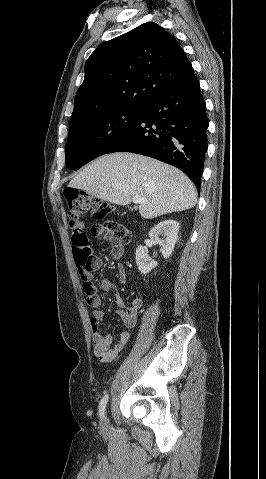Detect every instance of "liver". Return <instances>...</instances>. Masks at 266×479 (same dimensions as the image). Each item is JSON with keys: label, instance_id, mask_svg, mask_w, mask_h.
I'll use <instances>...</instances> for the list:
<instances>
[{"label": "liver", "instance_id": "obj_1", "mask_svg": "<svg viewBox=\"0 0 266 479\" xmlns=\"http://www.w3.org/2000/svg\"><path fill=\"white\" fill-rule=\"evenodd\" d=\"M68 186L118 205H128L133 197L140 196L146 200L139 206L145 219L184 211L197 202L194 184L179 169L128 152L95 159Z\"/></svg>", "mask_w": 266, "mask_h": 479}]
</instances>
